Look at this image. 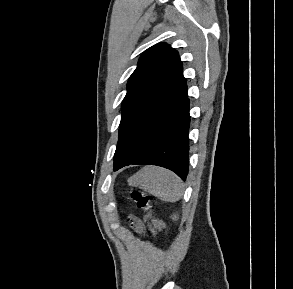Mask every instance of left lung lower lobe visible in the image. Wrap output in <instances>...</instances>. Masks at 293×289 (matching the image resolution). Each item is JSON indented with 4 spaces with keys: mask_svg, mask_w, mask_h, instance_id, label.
I'll use <instances>...</instances> for the list:
<instances>
[{
    "mask_svg": "<svg viewBox=\"0 0 293 289\" xmlns=\"http://www.w3.org/2000/svg\"><path fill=\"white\" fill-rule=\"evenodd\" d=\"M189 124V99L183 77L124 133L120 145L132 159L114 171L130 164L157 165L185 180L189 167Z\"/></svg>",
    "mask_w": 293,
    "mask_h": 289,
    "instance_id": "obj_1",
    "label": "left lung lower lobe"
}]
</instances>
